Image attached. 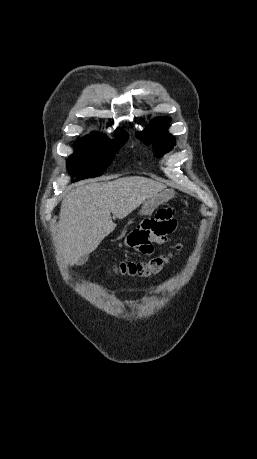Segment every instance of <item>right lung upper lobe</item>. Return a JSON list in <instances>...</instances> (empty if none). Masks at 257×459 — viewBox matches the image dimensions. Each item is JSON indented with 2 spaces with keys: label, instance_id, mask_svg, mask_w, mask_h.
<instances>
[{
  "label": "right lung upper lobe",
  "instance_id": "1",
  "mask_svg": "<svg viewBox=\"0 0 257 459\" xmlns=\"http://www.w3.org/2000/svg\"><path fill=\"white\" fill-rule=\"evenodd\" d=\"M116 132H124V133H126L124 130H122V129H120V128H119V129H117V130H116ZM92 134H100V133H97V132H93Z\"/></svg>",
  "mask_w": 257,
  "mask_h": 459
}]
</instances>
